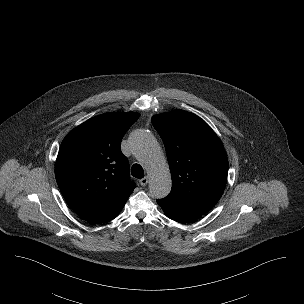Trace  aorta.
<instances>
[{
	"mask_svg": "<svg viewBox=\"0 0 304 304\" xmlns=\"http://www.w3.org/2000/svg\"><path fill=\"white\" fill-rule=\"evenodd\" d=\"M131 147L150 175V195L158 199L166 197L172 187L171 174L154 136L144 130L136 131L131 138Z\"/></svg>",
	"mask_w": 304,
	"mask_h": 304,
	"instance_id": "1",
	"label": "aorta"
}]
</instances>
